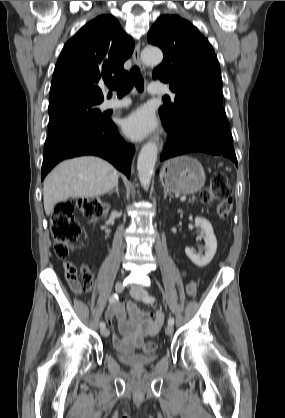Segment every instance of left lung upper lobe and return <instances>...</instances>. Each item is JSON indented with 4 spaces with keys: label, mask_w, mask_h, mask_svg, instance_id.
<instances>
[{
    "label": "left lung upper lobe",
    "mask_w": 285,
    "mask_h": 418,
    "mask_svg": "<svg viewBox=\"0 0 285 418\" xmlns=\"http://www.w3.org/2000/svg\"><path fill=\"white\" fill-rule=\"evenodd\" d=\"M147 40L164 52L152 77L169 83L174 103L160 107L162 123L174 130L198 115L226 120L218 59L209 41L187 20L164 15L149 30Z\"/></svg>",
    "instance_id": "5c2ea615"
}]
</instances>
